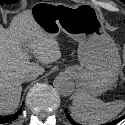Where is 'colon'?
<instances>
[{
    "label": "colon",
    "instance_id": "1",
    "mask_svg": "<svg viewBox=\"0 0 125 125\" xmlns=\"http://www.w3.org/2000/svg\"><path fill=\"white\" fill-rule=\"evenodd\" d=\"M121 79L125 83V45H124V49H123V67H122V71H121Z\"/></svg>",
    "mask_w": 125,
    "mask_h": 125
}]
</instances>
